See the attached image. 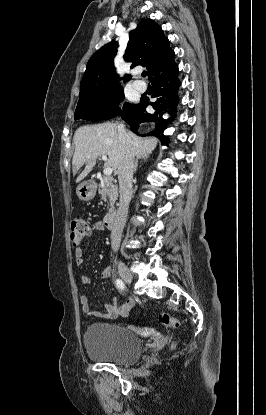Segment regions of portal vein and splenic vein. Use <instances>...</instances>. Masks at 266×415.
<instances>
[{"mask_svg": "<svg viewBox=\"0 0 266 415\" xmlns=\"http://www.w3.org/2000/svg\"><path fill=\"white\" fill-rule=\"evenodd\" d=\"M102 159L104 161H106L107 160V156L103 154L102 155ZM112 172H113V169L111 167H109V166L105 167L104 170H103V173H104L105 176H110L112 174Z\"/></svg>", "mask_w": 266, "mask_h": 415, "instance_id": "obj_1", "label": "portal vein and splenic vein"}]
</instances>
